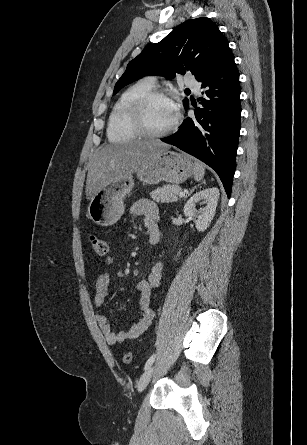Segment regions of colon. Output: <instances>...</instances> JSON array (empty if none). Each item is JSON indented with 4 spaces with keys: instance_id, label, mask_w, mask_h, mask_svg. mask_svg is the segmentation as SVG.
Wrapping results in <instances>:
<instances>
[{
    "instance_id": "5ec220e1",
    "label": "colon",
    "mask_w": 307,
    "mask_h": 445,
    "mask_svg": "<svg viewBox=\"0 0 307 445\" xmlns=\"http://www.w3.org/2000/svg\"><path fill=\"white\" fill-rule=\"evenodd\" d=\"M90 242L96 254L99 256H105L108 254L109 246L100 236L95 234L91 235ZM122 361L125 364H129L132 361V353L130 351L124 352L122 355Z\"/></svg>"
}]
</instances>
